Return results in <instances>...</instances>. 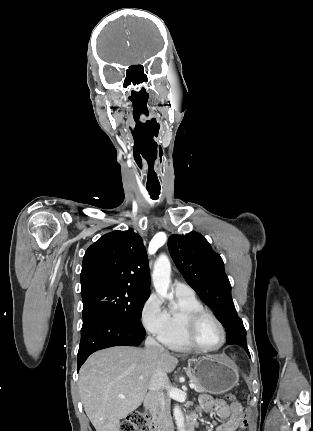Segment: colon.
<instances>
[{
  "label": "colon",
  "mask_w": 313,
  "mask_h": 431,
  "mask_svg": "<svg viewBox=\"0 0 313 431\" xmlns=\"http://www.w3.org/2000/svg\"><path fill=\"white\" fill-rule=\"evenodd\" d=\"M226 399L235 402L236 396L228 393ZM151 415L148 411L134 412L121 423L119 431H152L150 426Z\"/></svg>",
  "instance_id": "colon-1"
}]
</instances>
